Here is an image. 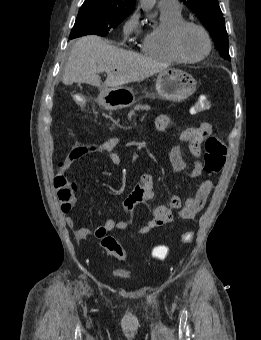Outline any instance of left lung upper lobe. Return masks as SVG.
<instances>
[{"label": "left lung upper lobe", "mask_w": 261, "mask_h": 340, "mask_svg": "<svg viewBox=\"0 0 261 340\" xmlns=\"http://www.w3.org/2000/svg\"><path fill=\"white\" fill-rule=\"evenodd\" d=\"M200 19L209 31L216 48L221 56L230 60L228 49V35L225 28L223 14L218 0H181Z\"/></svg>", "instance_id": "left-lung-upper-lobe-1"}]
</instances>
